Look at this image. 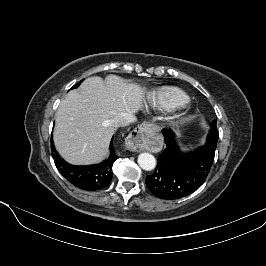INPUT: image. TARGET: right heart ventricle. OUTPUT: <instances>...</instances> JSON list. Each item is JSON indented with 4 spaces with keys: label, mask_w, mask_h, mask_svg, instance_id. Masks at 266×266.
<instances>
[{
    "label": "right heart ventricle",
    "mask_w": 266,
    "mask_h": 266,
    "mask_svg": "<svg viewBox=\"0 0 266 266\" xmlns=\"http://www.w3.org/2000/svg\"><path fill=\"white\" fill-rule=\"evenodd\" d=\"M189 102V96L175 87L160 88L149 98L150 105L161 112H172L184 108Z\"/></svg>",
    "instance_id": "e07e8e85"
}]
</instances>
